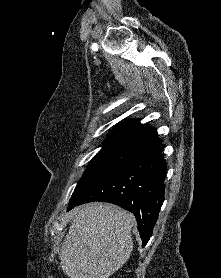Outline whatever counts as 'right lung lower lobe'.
I'll list each match as a JSON object with an SVG mask.
<instances>
[{"label": "right lung lower lobe", "mask_w": 221, "mask_h": 278, "mask_svg": "<svg viewBox=\"0 0 221 278\" xmlns=\"http://www.w3.org/2000/svg\"><path fill=\"white\" fill-rule=\"evenodd\" d=\"M160 143L136 148L134 157L96 183L68 210L86 202L116 204L132 212L143 247L149 241L164 201L167 165Z\"/></svg>", "instance_id": "obj_1"}]
</instances>
